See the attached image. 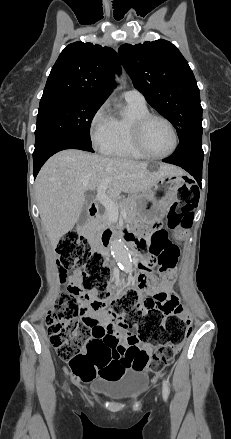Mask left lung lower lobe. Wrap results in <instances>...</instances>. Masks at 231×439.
<instances>
[{"label": "left lung lower lobe", "mask_w": 231, "mask_h": 439, "mask_svg": "<svg viewBox=\"0 0 231 439\" xmlns=\"http://www.w3.org/2000/svg\"><path fill=\"white\" fill-rule=\"evenodd\" d=\"M202 130L188 132L179 140V145L173 155L163 162L182 167L189 172L201 186L202 164L204 153L202 150Z\"/></svg>", "instance_id": "1"}]
</instances>
